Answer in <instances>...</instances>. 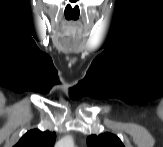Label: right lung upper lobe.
<instances>
[{
    "instance_id": "1",
    "label": "right lung upper lobe",
    "mask_w": 163,
    "mask_h": 147,
    "mask_svg": "<svg viewBox=\"0 0 163 147\" xmlns=\"http://www.w3.org/2000/svg\"><path fill=\"white\" fill-rule=\"evenodd\" d=\"M55 138V132L33 129L24 134L14 147H52Z\"/></svg>"
}]
</instances>
